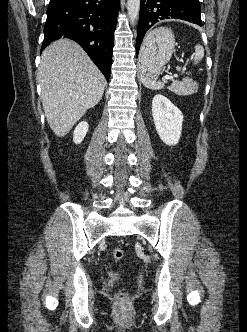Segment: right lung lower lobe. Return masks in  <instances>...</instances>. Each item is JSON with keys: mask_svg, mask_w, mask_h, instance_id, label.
Wrapping results in <instances>:
<instances>
[{"mask_svg": "<svg viewBox=\"0 0 247 332\" xmlns=\"http://www.w3.org/2000/svg\"><path fill=\"white\" fill-rule=\"evenodd\" d=\"M120 0H50L42 49L61 37L75 40L109 80Z\"/></svg>", "mask_w": 247, "mask_h": 332, "instance_id": "98d812e1", "label": "right lung lower lobe"}]
</instances>
